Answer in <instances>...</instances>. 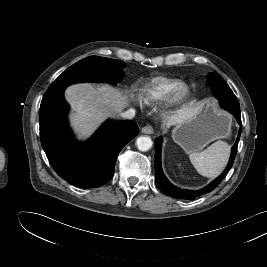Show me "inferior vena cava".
<instances>
[{
	"mask_svg": "<svg viewBox=\"0 0 267 267\" xmlns=\"http://www.w3.org/2000/svg\"><path fill=\"white\" fill-rule=\"evenodd\" d=\"M121 117L125 119H132L135 116V110L134 109H129L125 112L120 113Z\"/></svg>",
	"mask_w": 267,
	"mask_h": 267,
	"instance_id": "602c4592",
	"label": "inferior vena cava"
}]
</instances>
